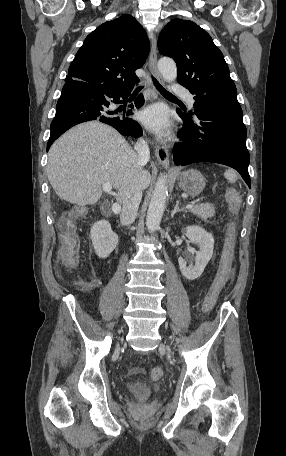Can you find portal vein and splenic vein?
Wrapping results in <instances>:
<instances>
[{"mask_svg":"<svg viewBox=\"0 0 286 456\" xmlns=\"http://www.w3.org/2000/svg\"><path fill=\"white\" fill-rule=\"evenodd\" d=\"M103 191L106 193H110L112 190V185L110 183H104L102 185ZM194 206V203H189L186 205L187 209H191ZM112 211L118 214L121 211V206L118 203H114L112 205Z\"/></svg>","mask_w":286,"mask_h":456,"instance_id":"18ae733b","label":"portal vein and splenic vein"}]
</instances>
